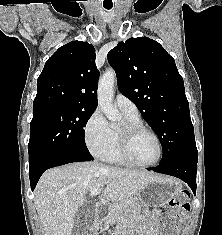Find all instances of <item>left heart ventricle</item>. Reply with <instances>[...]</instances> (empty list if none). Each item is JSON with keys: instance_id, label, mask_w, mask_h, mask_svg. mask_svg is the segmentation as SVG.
Here are the masks:
<instances>
[{"instance_id": "left-heart-ventricle-1", "label": "left heart ventricle", "mask_w": 222, "mask_h": 235, "mask_svg": "<svg viewBox=\"0 0 222 235\" xmlns=\"http://www.w3.org/2000/svg\"><path fill=\"white\" fill-rule=\"evenodd\" d=\"M131 152L137 162L150 163L157 158L159 148L152 135L142 132L134 139Z\"/></svg>"}]
</instances>
